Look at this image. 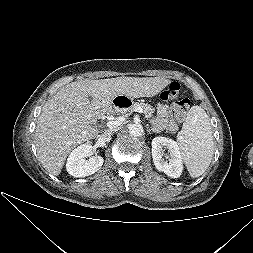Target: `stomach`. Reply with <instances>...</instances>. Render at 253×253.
<instances>
[{
    "label": "stomach",
    "instance_id": "0dacf381",
    "mask_svg": "<svg viewBox=\"0 0 253 253\" xmlns=\"http://www.w3.org/2000/svg\"><path fill=\"white\" fill-rule=\"evenodd\" d=\"M134 106V99L122 94L115 96L111 103V107L120 114H125L131 111Z\"/></svg>",
    "mask_w": 253,
    "mask_h": 253
}]
</instances>
